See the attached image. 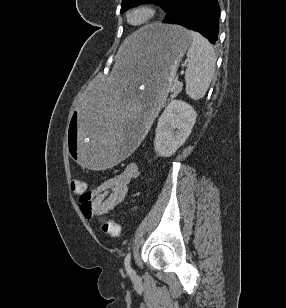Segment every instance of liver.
I'll return each mask as SVG.
<instances>
[{
  "mask_svg": "<svg viewBox=\"0 0 286 308\" xmlns=\"http://www.w3.org/2000/svg\"><path fill=\"white\" fill-rule=\"evenodd\" d=\"M139 45V36L137 33H133L128 37L119 49V56L123 59L126 58L129 61H133L136 48Z\"/></svg>",
  "mask_w": 286,
  "mask_h": 308,
  "instance_id": "liver-1",
  "label": "liver"
}]
</instances>
